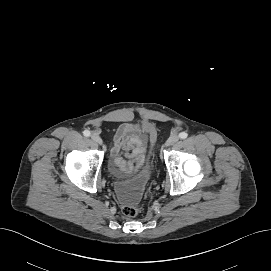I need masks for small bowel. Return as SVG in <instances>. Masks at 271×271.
I'll return each mask as SVG.
<instances>
[{"label":"small bowel","mask_w":271,"mask_h":271,"mask_svg":"<svg viewBox=\"0 0 271 271\" xmlns=\"http://www.w3.org/2000/svg\"><path fill=\"white\" fill-rule=\"evenodd\" d=\"M153 133L147 125L123 123L118 127L110 150V168L114 175H128L144 165Z\"/></svg>","instance_id":"small-bowel-1"}]
</instances>
